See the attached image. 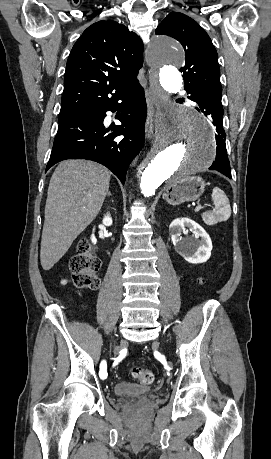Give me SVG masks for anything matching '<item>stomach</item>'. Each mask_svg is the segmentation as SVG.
Instances as JSON below:
<instances>
[{
	"label": "stomach",
	"mask_w": 271,
	"mask_h": 459,
	"mask_svg": "<svg viewBox=\"0 0 271 459\" xmlns=\"http://www.w3.org/2000/svg\"><path fill=\"white\" fill-rule=\"evenodd\" d=\"M206 184L199 176H190V178H177L167 184L163 200L172 206H178L183 202H195L204 192Z\"/></svg>",
	"instance_id": "obj_1"
}]
</instances>
